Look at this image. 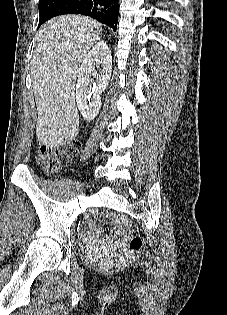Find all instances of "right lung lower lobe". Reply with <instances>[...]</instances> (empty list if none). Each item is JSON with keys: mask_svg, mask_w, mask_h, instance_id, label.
<instances>
[{"mask_svg": "<svg viewBox=\"0 0 227 315\" xmlns=\"http://www.w3.org/2000/svg\"><path fill=\"white\" fill-rule=\"evenodd\" d=\"M118 11V0H61L49 13L50 18L64 14L90 16L116 31Z\"/></svg>", "mask_w": 227, "mask_h": 315, "instance_id": "1", "label": "right lung lower lobe"}]
</instances>
